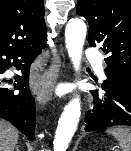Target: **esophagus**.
Returning <instances> with one entry per match:
<instances>
[{
	"label": "esophagus",
	"mask_w": 131,
	"mask_h": 151,
	"mask_svg": "<svg viewBox=\"0 0 131 151\" xmlns=\"http://www.w3.org/2000/svg\"><path fill=\"white\" fill-rule=\"evenodd\" d=\"M60 67L61 58L58 56L49 71L44 74L36 86V99L39 104L45 105L51 99L52 90L59 76Z\"/></svg>",
	"instance_id": "34e87169"
}]
</instances>
